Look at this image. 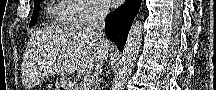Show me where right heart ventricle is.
I'll return each instance as SVG.
<instances>
[{
	"label": "right heart ventricle",
	"mask_w": 216,
	"mask_h": 90,
	"mask_svg": "<svg viewBox=\"0 0 216 90\" xmlns=\"http://www.w3.org/2000/svg\"><path fill=\"white\" fill-rule=\"evenodd\" d=\"M53 7H48V24L51 28H83L80 22H73L74 16H78L79 11H84V7L68 2H54Z\"/></svg>",
	"instance_id": "1"
}]
</instances>
